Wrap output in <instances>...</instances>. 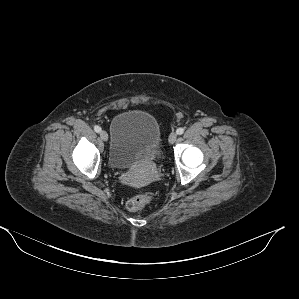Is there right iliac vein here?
<instances>
[{"mask_svg":"<svg viewBox=\"0 0 299 299\" xmlns=\"http://www.w3.org/2000/svg\"><path fill=\"white\" fill-rule=\"evenodd\" d=\"M100 137L103 141H107L108 140V134L106 131H101L100 132Z\"/></svg>","mask_w":299,"mask_h":299,"instance_id":"1","label":"right iliac vein"}]
</instances>
